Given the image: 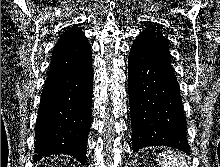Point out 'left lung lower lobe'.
<instances>
[{
  "mask_svg": "<svg viewBox=\"0 0 220 167\" xmlns=\"http://www.w3.org/2000/svg\"><path fill=\"white\" fill-rule=\"evenodd\" d=\"M128 87L133 150L163 145L189 154L187 123L171 57L130 50Z\"/></svg>",
  "mask_w": 220,
  "mask_h": 167,
  "instance_id": "1",
  "label": "left lung lower lobe"
}]
</instances>
